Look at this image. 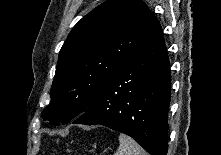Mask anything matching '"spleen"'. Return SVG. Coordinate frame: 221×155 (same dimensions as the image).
I'll use <instances>...</instances> for the list:
<instances>
[{"instance_id": "3e777b00", "label": "spleen", "mask_w": 221, "mask_h": 155, "mask_svg": "<svg viewBox=\"0 0 221 155\" xmlns=\"http://www.w3.org/2000/svg\"><path fill=\"white\" fill-rule=\"evenodd\" d=\"M119 147L114 155H148L131 137L119 134Z\"/></svg>"}]
</instances>
